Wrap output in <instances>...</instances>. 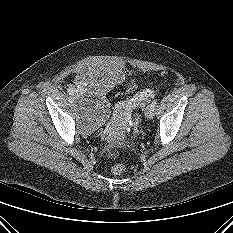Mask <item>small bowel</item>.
Masks as SVG:
<instances>
[{"instance_id": "c3829d8e", "label": "small bowel", "mask_w": 233, "mask_h": 233, "mask_svg": "<svg viewBox=\"0 0 233 233\" xmlns=\"http://www.w3.org/2000/svg\"><path fill=\"white\" fill-rule=\"evenodd\" d=\"M144 101V96H137V97H133L130 98L127 102H126V106L127 107H134L137 105L142 104Z\"/></svg>"}]
</instances>
